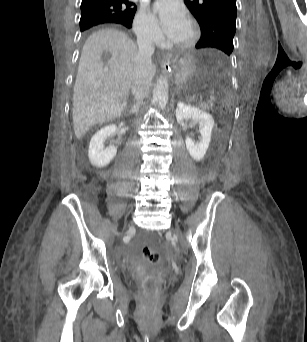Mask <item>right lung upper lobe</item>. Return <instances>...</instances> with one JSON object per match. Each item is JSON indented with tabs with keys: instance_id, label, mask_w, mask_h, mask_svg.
Listing matches in <instances>:
<instances>
[{
	"instance_id": "right-lung-upper-lobe-1",
	"label": "right lung upper lobe",
	"mask_w": 307,
	"mask_h": 342,
	"mask_svg": "<svg viewBox=\"0 0 307 342\" xmlns=\"http://www.w3.org/2000/svg\"><path fill=\"white\" fill-rule=\"evenodd\" d=\"M133 6L134 3L129 0H82L81 10L107 9L115 11L120 15L119 18L106 23L122 24L130 28L136 12V7Z\"/></svg>"
}]
</instances>
